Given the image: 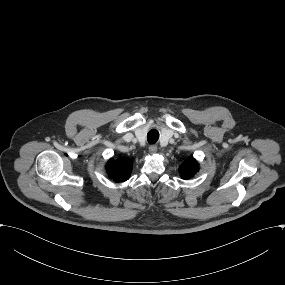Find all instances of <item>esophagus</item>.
Instances as JSON below:
<instances>
[{
	"label": "esophagus",
	"instance_id": "obj_1",
	"mask_svg": "<svg viewBox=\"0 0 285 285\" xmlns=\"http://www.w3.org/2000/svg\"><path fill=\"white\" fill-rule=\"evenodd\" d=\"M148 149H149L150 154H155L157 152V145L152 144L149 146Z\"/></svg>",
	"mask_w": 285,
	"mask_h": 285
}]
</instances>
